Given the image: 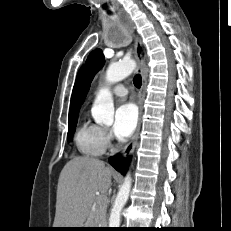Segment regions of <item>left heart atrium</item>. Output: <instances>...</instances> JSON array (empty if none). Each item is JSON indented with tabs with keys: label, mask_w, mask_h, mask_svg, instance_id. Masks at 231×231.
Here are the masks:
<instances>
[{
	"label": "left heart atrium",
	"mask_w": 231,
	"mask_h": 231,
	"mask_svg": "<svg viewBox=\"0 0 231 231\" xmlns=\"http://www.w3.org/2000/svg\"><path fill=\"white\" fill-rule=\"evenodd\" d=\"M138 122V111L133 103L120 105L115 112L113 133L119 139L128 138L135 130Z\"/></svg>",
	"instance_id": "obj_1"
}]
</instances>
